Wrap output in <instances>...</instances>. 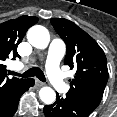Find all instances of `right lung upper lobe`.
Here are the masks:
<instances>
[{
	"mask_svg": "<svg viewBox=\"0 0 117 117\" xmlns=\"http://www.w3.org/2000/svg\"><path fill=\"white\" fill-rule=\"evenodd\" d=\"M37 21V17L21 16L0 24V103L26 80L6 77L7 71L3 61L9 57L13 59L20 57L17 53V47L26 31Z\"/></svg>",
	"mask_w": 117,
	"mask_h": 117,
	"instance_id": "obj_1",
	"label": "right lung upper lobe"
}]
</instances>
